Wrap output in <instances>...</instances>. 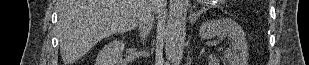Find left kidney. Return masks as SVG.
Instances as JSON below:
<instances>
[{"label": "left kidney", "instance_id": "1", "mask_svg": "<svg viewBox=\"0 0 309 65\" xmlns=\"http://www.w3.org/2000/svg\"><path fill=\"white\" fill-rule=\"evenodd\" d=\"M201 39L218 37L220 40L231 41L230 47L225 51L224 65H247L248 45L246 34L238 23L229 18L208 20L201 24L199 29ZM209 65H220L218 59H212Z\"/></svg>", "mask_w": 309, "mask_h": 65}]
</instances>
